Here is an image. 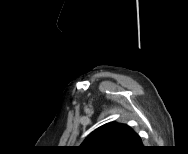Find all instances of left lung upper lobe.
<instances>
[{"instance_id": "5c2ea615", "label": "left lung upper lobe", "mask_w": 188, "mask_h": 154, "mask_svg": "<svg viewBox=\"0 0 188 154\" xmlns=\"http://www.w3.org/2000/svg\"><path fill=\"white\" fill-rule=\"evenodd\" d=\"M135 136L128 125L110 122L93 131L81 148L92 154L121 153L131 149Z\"/></svg>"}]
</instances>
